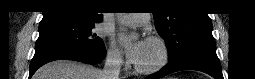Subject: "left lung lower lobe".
Here are the masks:
<instances>
[{
  "label": "left lung lower lobe",
  "instance_id": "0a47b994",
  "mask_svg": "<svg viewBox=\"0 0 255 79\" xmlns=\"http://www.w3.org/2000/svg\"><path fill=\"white\" fill-rule=\"evenodd\" d=\"M181 70H199L211 75L215 79H223L215 45L196 47L192 51L185 53L179 59L170 61L162 70L148 76L146 79H159Z\"/></svg>",
  "mask_w": 255,
  "mask_h": 79
}]
</instances>
